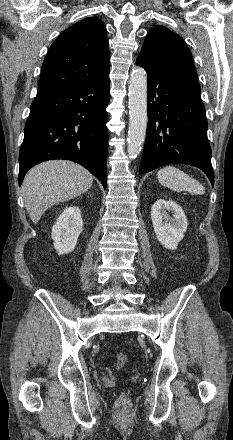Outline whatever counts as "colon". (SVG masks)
<instances>
[{"instance_id":"5ec220e1","label":"colon","mask_w":233,"mask_h":440,"mask_svg":"<svg viewBox=\"0 0 233 440\" xmlns=\"http://www.w3.org/2000/svg\"><path fill=\"white\" fill-rule=\"evenodd\" d=\"M127 362L126 354L119 352L116 355L115 364L118 369H122ZM116 409L119 412H127L130 409V399L126 393H121L115 403Z\"/></svg>"}]
</instances>
